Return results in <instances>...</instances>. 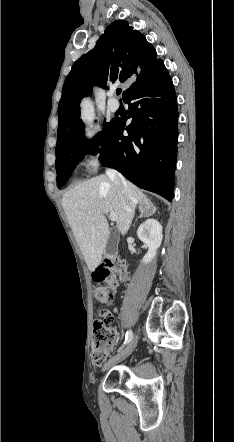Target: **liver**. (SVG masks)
Returning a JSON list of instances; mask_svg holds the SVG:
<instances>
[{
    "label": "liver",
    "instance_id": "obj_1",
    "mask_svg": "<svg viewBox=\"0 0 234 442\" xmlns=\"http://www.w3.org/2000/svg\"><path fill=\"white\" fill-rule=\"evenodd\" d=\"M145 199L148 200L134 184L126 181V187L118 186L108 175L93 177L63 195L62 206L91 272L100 264L108 242L106 215H117L118 230L125 235L137 204Z\"/></svg>",
    "mask_w": 234,
    "mask_h": 442
}]
</instances>
